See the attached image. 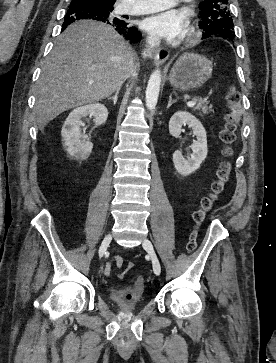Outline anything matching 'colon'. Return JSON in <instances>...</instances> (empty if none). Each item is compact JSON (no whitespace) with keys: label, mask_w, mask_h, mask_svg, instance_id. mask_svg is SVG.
Here are the masks:
<instances>
[{"label":"colon","mask_w":276,"mask_h":363,"mask_svg":"<svg viewBox=\"0 0 276 363\" xmlns=\"http://www.w3.org/2000/svg\"><path fill=\"white\" fill-rule=\"evenodd\" d=\"M227 100L230 108V112L226 116V124L220 132V139L223 143L222 155L224 160L221 162L219 170L217 172V178L211 185V192L202 199L201 206L193 214V220L195 223L194 229L189 236V240L186 245V250L192 253L197 248L198 228L203 222L207 212L211 210L215 202L223 193L226 183L228 182L231 170V164L229 158L232 156V144L235 141V129H236V115L235 106L239 101V94L235 88L230 87L227 93ZM132 264L128 265L130 269ZM140 281L135 284L140 285Z\"/></svg>","instance_id":"1"}]
</instances>
